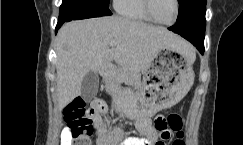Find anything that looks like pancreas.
<instances>
[{
    "mask_svg": "<svg viewBox=\"0 0 243 145\" xmlns=\"http://www.w3.org/2000/svg\"><path fill=\"white\" fill-rule=\"evenodd\" d=\"M132 78L131 75H129L128 73H125L124 71H122L121 69H117L115 72H114V79L118 82L120 81H125V80H128Z\"/></svg>",
    "mask_w": 243,
    "mask_h": 145,
    "instance_id": "pancreas-1",
    "label": "pancreas"
}]
</instances>
